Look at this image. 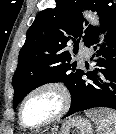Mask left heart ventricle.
Returning <instances> with one entry per match:
<instances>
[{"mask_svg":"<svg viewBox=\"0 0 116 134\" xmlns=\"http://www.w3.org/2000/svg\"><path fill=\"white\" fill-rule=\"evenodd\" d=\"M60 107L59 96L53 91L34 94L25 104L23 119L28 125H36L55 114Z\"/></svg>","mask_w":116,"mask_h":134,"instance_id":"b2bd125f","label":"left heart ventricle"}]
</instances>
